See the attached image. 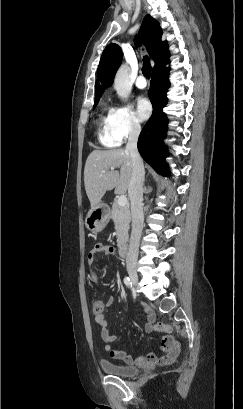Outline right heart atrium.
Wrapping results in <instances>:
<instances>
[{"mask_svg": "<svg viewBox=\"0 0 243 409\" xmlns=\"http://www.w3.org/2000/svg\"><path fill=\"white\" fill-rule=\"evenodd\" d=\"M108 125L112 135L119 142L136 135L140 130L139 124L127 105H117L110 110Z\"/></svg>", "mask_w": 243, "mask_h": 409, "instance_id": "right-heart-atrium-1", "label": "right heart atrium"}]
</instances>
